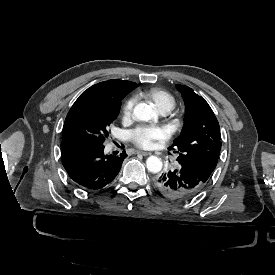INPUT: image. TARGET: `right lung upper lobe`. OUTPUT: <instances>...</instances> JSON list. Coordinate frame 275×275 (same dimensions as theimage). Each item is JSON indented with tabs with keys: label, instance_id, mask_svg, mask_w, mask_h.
<instances>
[{
	"label": "right lung upper lobe",
	"instance_id": "1",
	"mask_svg": "<svg viewBox=\"0 0 275 275\" xmlns=\"http://www.w3.org/2000/svg\"><path fill=\"white\" fill-rule=\"evenodd\" d=\"M135 87L136 83L130 81L113 79L100 82L84 91L69 112L97 103L121 104L120 101Z\"/></svg>",
	"mask_w": 275,
	"mask_h": 275
}]
</instances>
